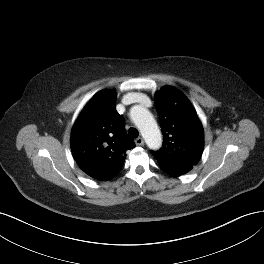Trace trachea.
Returning <instances> with one entry per match:
<instances>
[{"mask_svg": "<svg viewBox=\"0 0 264 264\" xmlns=\"http://www.w3.org/2000/svg\"><path fill=\"white\" fill-rule=\"evenodd\" d=\"M128 134L131 138H137L139 136L138 130L136 128H133V127L129 128Z\"/></svg>", "mask_w": 264, "mask_h": 264, "instance_id": "trachea-1", "label": "trachea"}]
</instances>
